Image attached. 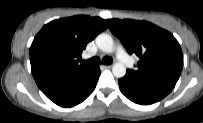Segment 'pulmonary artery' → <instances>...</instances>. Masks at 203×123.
I'll use <instances>...</instances> for the list:
<instances>
[{
  "instance_id": "pulmonary-artery-1",
  "label": "pulmonary artery",
  "mask_w": 203,
  "mask_h": 123,
  "mask_svg": "<svg viewBox=\"0 0 203 123\" xmlns=\"http://www.w3.org/2000/svg\"><path fill=\"white\" fill-rule=\"evenodd\" d=\"M116 56H117L118 60L121 63H123L125 66H127V67H131L132 66V60L127 55V53L125 52L123 47L120 46V45L117 46V48H116Z\"/></svg>"
}]
</instances>
